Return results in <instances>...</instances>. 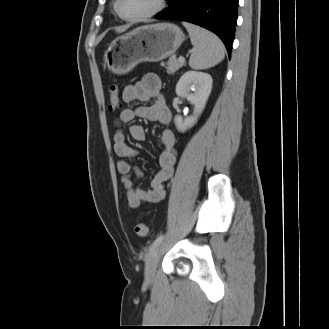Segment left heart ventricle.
Listing matches in <instances>:
<instances>
[{
  "mask_svg": "<svg viewBox=\"0 0 329 329\" xmlns=\"http://www.w3.org/2000/svg\"><path fill=\"white\" fill-rule=\"evenodd\" d=\"M157 0H120L119 11L125 17H134L151 11Z\"/></svg>",
  "mask_w": 329,
  "mask_h": 329,
  "instance_id": "1",
  "label": "left heart ventricle"
}]
</instances>
